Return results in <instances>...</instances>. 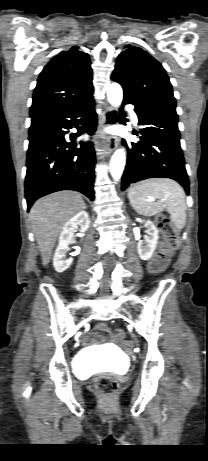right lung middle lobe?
I'll return each mask as SVG.
<instances>
[{
  "label": "right lung middle lobe",
  "instance_id": "obj_1",
  "mask_svg": "<svg viewBox=\"0 0 208 461\" xmlns=\"http://www.w3.org/2000/svg\"><path fill=\"white\" fill-rule=\"evenodd\" d=\"M34 123H36V122H33V121H32V123H31V124H34Z\"/></svg>",
  "mask_w": 208,
  "mask_h": 461
}]
</instances>
